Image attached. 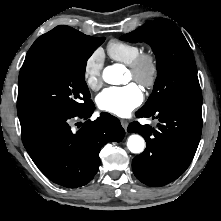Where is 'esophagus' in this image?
Returning <instances> with one entry per match:
<instances>
[{
    "label": "esophagus",
    "instance_id": "34e87169",
    "mask_svg": "<svg viewBox=\"0 0 221 221\" xmlns=\"http://www.w3.org/2000/svg\"><path fill=\"white\" fill-rule=\"evenodd\" d=\"M120 122H121L122 127L126 130L129 122L125 119H121Z\"/></svg>",
    "mask_w": 221,
    "mask_h": 221
}]
</instances>
